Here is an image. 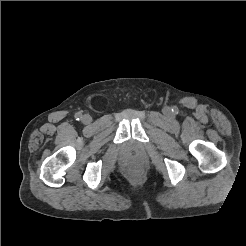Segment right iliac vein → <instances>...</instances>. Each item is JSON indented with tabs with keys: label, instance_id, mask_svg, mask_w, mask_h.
Listing matches in <instances>:
<instances>
[{
	"label": "right iliac vein",
	"instance_id": "63e3f726",
	"mask_svg": "<svg viewBox=\"0 0 246 246\" xmlns=\"http://www.w3.org/2000/svg\"><path fill=\"white\" fill-rule=\"evenodd\" d=\"M92 118L89 114H85L83 117H82V122L84 124H89L91 122Z\"/></svg>",
	"mask_w": 246,
	"mask_h": 246
}]
</instances>
